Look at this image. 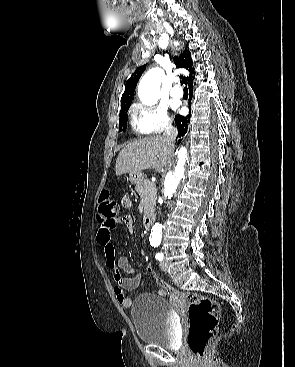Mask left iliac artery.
Wrapping results in <instances>:
<instances>
[{
	"label": "left iliac artery",
	"mask_w": 295,
	"mask_h": 367,
	"mask_svg": "<svg viewBox=\"0 0 295 367\" xmlns=\"http://www.w3.org/2000/svg\"><path fill=\"white\" fill-rule=\"evenodd\" d=\"M155 258L159 261H162L164 259V255L161 252L156 253Z\"/></svg>",
	"instance_id": "obj_1"
}]
</instances>
